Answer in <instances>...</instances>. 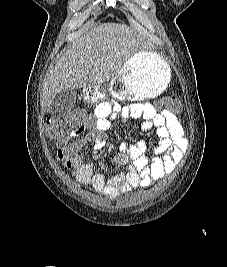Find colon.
I'll use <instances>...</instances> for the list:
<instances>
[{
    "instance_id": "colon-1",
    "label": "colon",
    "mask_w": 227,
    "mask_h": 267,
    "mask_svg": "<svg viewBox=\"0 0 227 267\" xmlns=\"http://www.w3.org/2000/svg\"><path fill=\"white\" fill-rule=\"evenodd\" d=\"M164 105L172 113H178L181 109L180 103L174 97H167L164 100ZM83 118L84 112L80 109H75L66 114L64 117H48L43 125V132L50 139H59L65 135L70 126L81 123Z\"/></svg>"
}]
</instances>
